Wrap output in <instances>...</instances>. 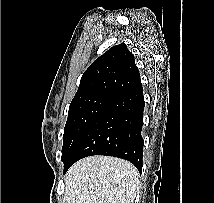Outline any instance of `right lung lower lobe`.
Here are the masks:
<instances>
[{"label": "right lung lower lobe", "mask_w": 214, "mask_h": 203, "mask_svg": "<svg viewBox=\"0 0 214 203\" xmlns=\"http://www.w3.org/2000/svg\"><path fill=\"white\" fill-rule=\"evenodd\" d=\"M144 106L141 84L112 98L71 151L64 162V173L76 161L92 155L128 160L141 173Z\"/></svg>", "instance_id": "right-lung-lower-lobe-1"}]
</instances>
